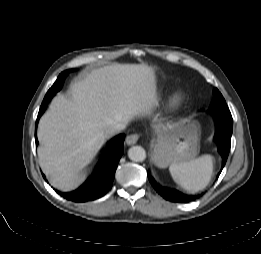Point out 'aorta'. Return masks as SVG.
<instances>
[{"label": "aorta", "instance_id": "obj_1", "mask_svg": "<svg viewBox=\"0 0 261 254\" xmlns=\"http://www.w3.org/2000/svg\"><path fill=\"white\" fill-rule=\"evenodd\" d=\"M128 157L134 162H142L146 158V151L141 146H133L128 150Z\"/></svg>", "mask_w": 261, "mask_h": 254}]
</instances>
